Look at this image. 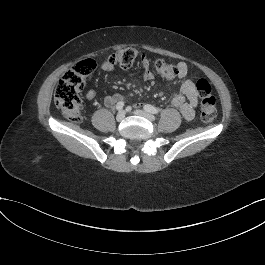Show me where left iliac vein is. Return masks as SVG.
Listing matches in <instances>:
<instances>
[{
	"instance_id": "left-iliac-vein-1",
	"label": "left iliac vein",
	"mask_w": 265,
	"mask_h": 265,
	"mask_svg": "<svg viewBox=\"0 0 265 265\" xmlns=\"http://www.w3.org/2000/svg\"><path fill=\"white\" fill-rule=\"evenodd\" d=\"M133 113L135 115L145 117L149 121H155V116L152 115V114H150V113H148L147 111H144V110H135Z\"/></svg>"
}]
</instances>
